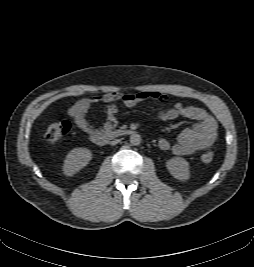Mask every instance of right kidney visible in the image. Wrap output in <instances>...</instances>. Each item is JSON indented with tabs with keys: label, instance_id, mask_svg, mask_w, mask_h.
Returning a JSON list of instances; mask_svg holds the SVG:
<instances>
[{
	"label": "right kidney",
	"instance_id": "1",
	"mask_svg": "<svg viewBox=\"0 0 254 267\" xmlns=\"http://www.w3.org/2000/svg\"><path fill=\"white\" fill-rule=\"evenodd\" d=\"M92 159V153L86 148H75L71 150L63 165V171L66 176H73L84 168Z\"/></svg>",
	"mask_w": 254,
	"mask_h": 267
}]
</instances>
